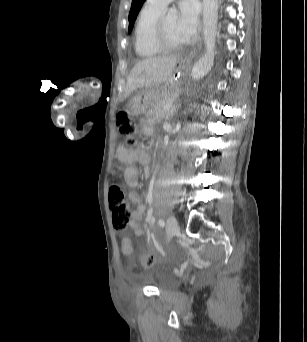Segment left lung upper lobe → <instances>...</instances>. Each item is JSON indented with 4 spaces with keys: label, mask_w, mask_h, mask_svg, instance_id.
<instances>
[{
    "label": "left lung upper lobe",
    "mask_w": 307,
    "mask_h": 342,
    "mask_svg": "<svg viewBox=\"0 0 307 342\" xmlns=\"http://www.w3.org/2000/svg\"><path fill=\"white\" fill-rule=\"evenodd\" d=\"M145 0H133L132 1V5H131V9L129 12V32H131L133 26H134V22L136 20V17L143 5Z\"/></svg>",
    "instance_id": "5c2ea615"
}]
</instances>
